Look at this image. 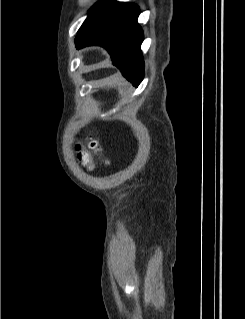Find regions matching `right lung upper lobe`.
Instances as JSON below:
<instances>
[{
    "mask_svg": "<svg viewBox=\"0 0 245 319\" xmlns=\"http://www.w3.org/2000/svg\"><path fill=\"white\" fill-rule=\"evenodd\" d=\"M85 29H88V28H82V26H81V28H80V30H79V31H82V30H85Z\"/></svg>",
    "mask_w": 245,
    "mask_h": 319,
    "instance_id": "1",
    "label": "right lung upper lobe"
}]
</instances>
